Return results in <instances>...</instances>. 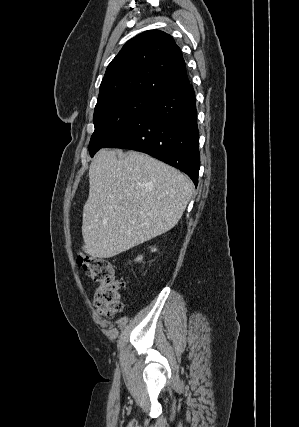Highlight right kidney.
Wrapping results in <instances>:
<instances>
[{
    "instance_id": "ca27d5eb",
    "label": "right kidney",
    "mask_w": 299,
    "mask_h": 427,
    "mask_svg": "<svg viewBox=\"0 0 299 427\" xmlns=\"http://www.w3.org/2000/svg\"><path fill=\"white\" fill-rule=\"evenodd\" d=\"M152 251H156V249L154 248V249H152ZM142 260V256H140V257H138L137 259H136V261H141Z\"/></svg>"
}]
</instances>
